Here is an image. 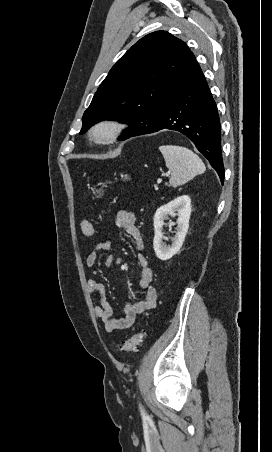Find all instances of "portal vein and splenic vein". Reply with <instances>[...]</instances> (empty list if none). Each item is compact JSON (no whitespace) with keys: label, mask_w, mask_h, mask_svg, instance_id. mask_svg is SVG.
<instances>
[{"label":"portal vein and splenic vein","mask_w":272,"mask_h":452,"mask_svg":"<svg viewBox=\"0 0 272 452\" xmlns=\"http://www.w3.org/2000/svg\"><path fill=\"white\" fill-rule=\"evenodd\" d=\"M168 174H169V172H168ZM161 181H162V180L159 178V179L157 180V183L160 184Z\"/></svg>","instance_id":"obj_1"}]
</instances>
